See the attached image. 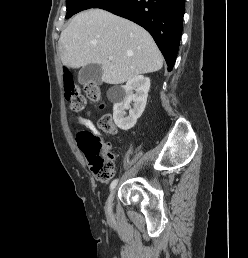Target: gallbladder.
Returning a JSON list of instances; mask_svg holds the SVG:
<instances>
[{
  "instance_id": "gallbladder-1",
  "label": "gallbladder",
  "mask_w": 248,
  "mask_h": 258,
  "mask_svg": "<svg viewBox=\"0 0 248 258\" xmlns=\"http://www.w3.org/2000/svg\"><path fill=\"white\" fill-rule=\"evenodd\" d=\"M101 77H102L101 65L92 63L82 67L78 75V81L81 85H85L90 82L100 84Z\"/></svg>"
}]
</instances>
